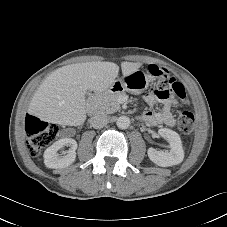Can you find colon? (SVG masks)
I'll return each instance as SVG.
<instances>
[{
  "label": "colon",
  "instance_id": "5ec220e1",
  "mask_svg": "<svg viewBox=\"0 0 227 227\" xmlns=\"http://www.w3.org/2000/svg\"><path fill=\"white\" fill-rule=\"evenodd\" d=\"M149 72L157 78V91L171 90L184 104L188 103L183 85L177 82L169 72L156 65L149 67ZM194 116L190 111H180L178 113V127L185 135H191L194 130ZM25 129L28 134V149L32 156L40 154L41 150L50 145L57 138L59 128L40 118L27 115L25 119Z\"/></svg>",
  "mask_w": 227,
  "mask_h": 227
}]
</instances>
